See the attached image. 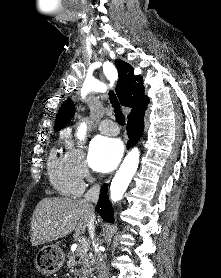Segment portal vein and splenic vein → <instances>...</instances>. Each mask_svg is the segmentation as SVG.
I'll list each match as a JSON object with an SVG mask.
<instances>
[{"mask_svg": "<svg viewBox=\"0 0 221 278\" xmlns=\"http://www.w3.org/2000/svg\"><path fill=\"white\" fill-rule=\"evenodd\" d=\"M78 242H79V244H80V247H79V248H80L81 250H85V251L88 250L89 245H88L87 240H86L84 237L78 238Z\"/></svg>", "mask_w": 221, "mask_h": 278, "instance_id": "18ae733b", "label": "portal vein and splenic vein"}]
</instances>
